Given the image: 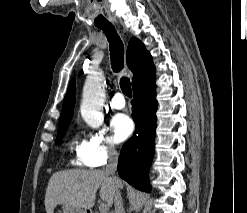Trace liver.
Wrapping results in <instances>:
<instances>
[{
	"instance_id": "obj_1",
	"label": "liver",
	"mask_w": 247,
	"mask_h": 213,
	"mask_svg": "<svg viewBox=\"0 0 247 213\" xmlns=\"http://www.w3.org/2000/svg\"><path fill=\"white\" fill-rule=\"evenodd\" d=\"M108 205L113 204L115 183L105 170H65L54 173L46 189L45 209L53 213L57 205L90 209L96 192Z\"/></svg>"
}]
</instances>
